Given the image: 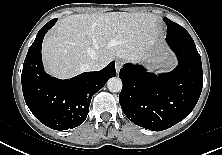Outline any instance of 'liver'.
<instances>
[{"mask_svg": "<svg viewBox=\"0 0 222 155\" xmlns=\"http://www.w3.org/2000/svg\"><path fill=\"white\" fill-rule=\"evenodd\" d=\"M159 36L158 19L151 13L74 14L59 20L44 39L43 62L49 74L66 79L86 71L91 61L105 67L115 58L151 59Z\"/></svg>", "mask_w": 222, "mask_h": 155, "instance_id": "liver-1", "label": "liver"}]
</instances>
